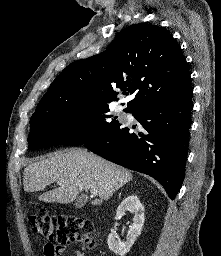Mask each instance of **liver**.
<instances>
[{
	"mask_svg": "<svg viewBox=\"0 0 221 256\" xmlns=\"http://www.w3.org/2000/svg\"><path fill=\"white\" fill-rule=\"evenodd\" d=\"M132 178L127 169L87 150L70 149L29 164L23 172V185L25 192H35L57 183V189L39 197L45 203H71L82 191L95 189L99 199L91 204L101 205Z\"/></svg>",
	"mask_w": 221,
	"mask_h": 256,
	"instance_id": "1",
	"label": "liver"
}]
</instances>
